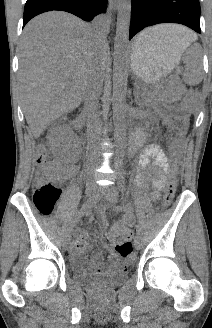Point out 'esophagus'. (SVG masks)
I'll use <instances>...</instances> for the list:
<instances>
[{"label": "esophagus", "instance_id": "34e87169", "mask_svg": "<svg viewBox=\"0 0 212 328\" xmlns=\"http://www.w3.org/2000/svg\"><path fill=\"white\" fill-rule=\"evenodd\" d=\"M110 3L114 5V7H117L118 0H110Z\"/></svg>", "mask_w": 212, "mask_h": 328}]
</instances>
